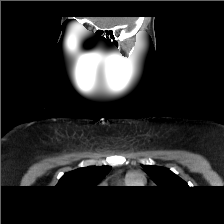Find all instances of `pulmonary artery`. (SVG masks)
Here are the masks:
<instances>
[{
    "instance_id": "obj_1",
    "label": "pulmonary artery",
    "mask_w": 224,
    "mask_h": 224,
    "mask_svg": "<svg viewBox=\"0 0 224 224\" xmlns=\"http://www.w3.org/2000/svg\"><path fill=\"white\" fill-rule=\"evenodd\" d=\"M136 179H137L138 181H141V179H140V177H139V176H137V177H136Z\"/></svg>"
}]
</instances>
